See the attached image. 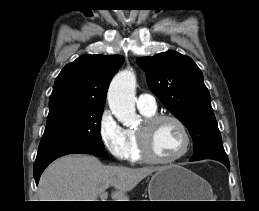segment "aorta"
<instances>
[{
  "mask_svg": "<svg viewBox=\"0 0 259 211\" xmlns=\"http://www.w3.org/2000/svg\"><path fill=\"white\" fill-rule=\"evenodd\" d=\"M136 76L133 71L119 72L111 81L107 100L109 108L123 125L130 127L137 123L135 109Z\"/></svg>",
  "mask_w": 259,
  "mask_h": 211,
  "instance_id": "aorta-1",
  "label": "aorta"
}]
</instances>
